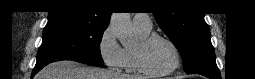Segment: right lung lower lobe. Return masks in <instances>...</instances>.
<instances>
[{
    "label": "right lung lower lobe",
    "mask_w": 255,
    "mask_h": 79,
    "mask_svg": "<svg viewBox=\"0 0 255 79\" xmlns=\"http://www.w3.org/2000/svg\"><path fill=\"white\" fill-rule=\"evenodd\" d=\"M47 64H49V63H47ZM47 64L36 65L35 68H34V70H33V72H32V78H33V76H34L38 71H40V70H41L44 66H46Z\"/></svg>",
    "instance_id": "1"
}]
</instances>
